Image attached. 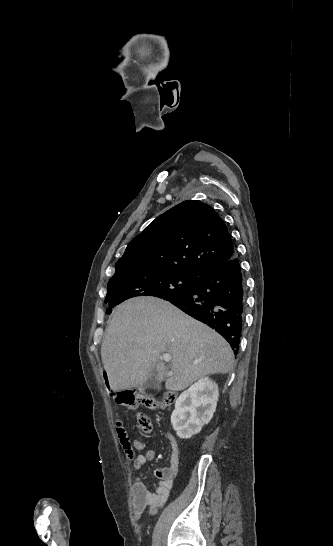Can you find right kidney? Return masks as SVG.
<instances>
[{
  "label": "right kidney",
  "mask_w": 333,
  "mask_h": 546,
  "mask_svg": "<svg viewBox=\"0 0 333 546\" xmlns=\"http://www.w3.org/2000/svg\"><path fill=\"white\" fill-rule=\"evenodd\" d=\"M218 396L216 382L208 377L201 378L181 393L171 415V423L180 438H191L212 419Z\"/></svg>",
  "instance_id": "obj_1"
}]
</instances>
